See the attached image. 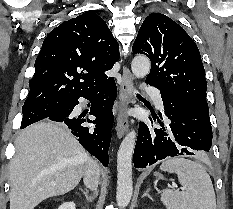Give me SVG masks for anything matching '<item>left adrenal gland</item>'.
Masks as SVG:
<instances>
[{"mask_svg": "<svg viewBox=\"0 0 233 209\" xmlns=\"http://www.w3.org/2000/svg\"><path fill=\"white\" fill-rule=\"evenodd\" d=\"M149 188L146 190V192L142 195V197L147 196L150 200H152V197L149 195Z\"/></svg>", "mask_w": 233, "mask_h": 209, "instance_id": "obj_1", "label": "left adrenal gland"}]
</instances>
